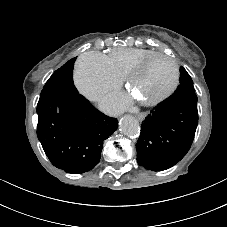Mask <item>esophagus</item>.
Returning <instances> with one entry per match:
<instances>
[{
	"label": "esophagus",
	"mask_w": 227,
	"mask_h": 227,
	"mask_svg": "<svg viewBox=\"0 0 227 227\" xmlns=\"http://www.w3.org/2000/svg\"><path fill=\"white\" fill-rule=\"evenodd\" d=\"M146 114L141 112L137 114V118L139 121H143L145 119Z\"/></svg>",
	"instance_id": "esophagus-1"
}]
</instances>
